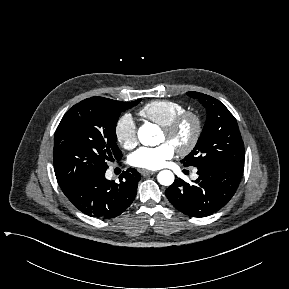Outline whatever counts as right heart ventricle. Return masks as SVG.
Here are the masks:
<instances>
[{"label": "right heart ventricle", "mask_w": 289, "mask_h": 289, "mask_svg": "<svg viewBox=\"0 0 289 289\" xmlns=\"http://www.w3.org/2000/svg\"><path fill=\"white\" fill-rule=\"evenodd\" d=\"M185 110V106L179 102L154 100L145 104L139 110V115L163 127Z\"/></svg>", "instance_id": "1"}]
</instances>
